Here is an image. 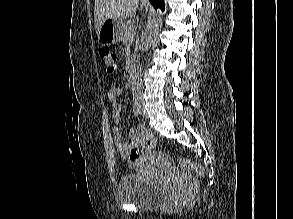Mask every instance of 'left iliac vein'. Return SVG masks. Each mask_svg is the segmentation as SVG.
I'll return each instance as SVG.
<instances>
[{
    "label": "left iliac vein",
    "instance_id": "1",
    "mask_svg": "<svg viewBox=\"0 0 293 219\" xmlns=\"http://www.w3.org/2000/svg\"><path fill=\"white\" fill-rule=\"evenodd\" d=\"M140 107H141V114L144 118H148V113L146 111V109L144 108L143 104H142V99L140 100Z\"/></svg>",
    "mask_w": 293,
    "mask_h": 219
}]
</instances>
